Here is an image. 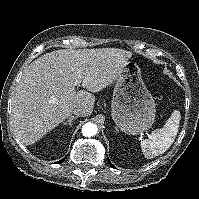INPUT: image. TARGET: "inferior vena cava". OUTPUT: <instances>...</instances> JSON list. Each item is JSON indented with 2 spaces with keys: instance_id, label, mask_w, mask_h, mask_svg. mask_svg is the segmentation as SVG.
Returning a JSON list of instances; mask_svg holds the SVG:
<instances>
[{
  "instance_id": "602c4592",
  "label": "inferior vena cava",
  "mask_w": 199,
  "mask_h": 199,
  "mask_svg": "<svg viewBox=\"0 0 199 199\" xmlns=\"http://www.w3.org/2000/svg\"><path fill=\"white\" fill-rule=\"evenodd\" d=\"M73 114L76 116L83 117L87 115V110L82 105H77L73 109Z\"/></svg>"
}]
</instances>
